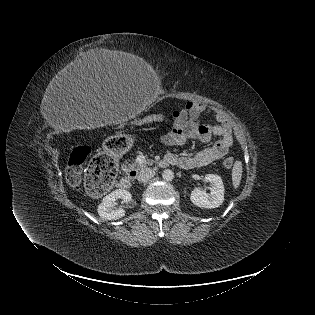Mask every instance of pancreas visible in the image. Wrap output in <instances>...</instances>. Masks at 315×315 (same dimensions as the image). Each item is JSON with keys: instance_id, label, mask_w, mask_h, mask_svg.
<instances>
[{"instance_id": "obj_1", "label": "pancreas", "mask_w": 315, "mask_h": 315, "mask_svg": "<svg viewBox=\"0 0 315 315\" xmlns=\"http://www.w3.org/2000/svg\"><path fill=\"white\" fill-rule=\"evenodd\" d=\"M149 163H150V162L147 161L146 163L140 164V163H138L137 161H135L134 163L128 165L127 171H129V170H136V171H139V170H141L142 168H144V167L146 166V164H149Z\"/></svg>"}]
</instances>
